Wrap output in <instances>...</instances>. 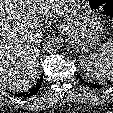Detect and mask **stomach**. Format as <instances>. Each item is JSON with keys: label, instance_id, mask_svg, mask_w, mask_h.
Masks as SVG:
<instances>
[{"label": "stomach", "instance_id": "1", "mask_svg": "<svg viewBox=\"0 0 113 113\" xmlns=\"http://www.w3.org/2000/svg\"><path fill=\"white\" fill-rule=\"evenodd\" d=\"M68 13L59 30L74 44L77 52L94 50L100 40L103 24L87 0H68Z\"/></svg>", "mask_w": 113, "mask_h": 113}]
</instances>
